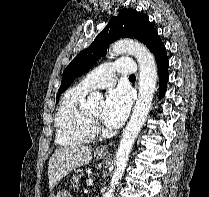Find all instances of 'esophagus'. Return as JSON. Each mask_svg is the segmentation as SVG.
Instances as JSON below:
<instances>
[{
    "instance_id": "34e87169",
    "label": "esophagus",
    "mask_w": 209,
    "mask_h": 197,
    "mask_svg": "<svg viewBox=\"0 0 209 197\" xmlns=\"http://www.w3.org/2000/svg\"><path fill=\"white\" fill-rule=\"evenodd\" d=\"M112 142L111 143H109V144H104V145H101V146H99L98 148H97V152L98 153H103V154H109V149H110V147L112 146Z\"/></svg>"
}]
</instances>
